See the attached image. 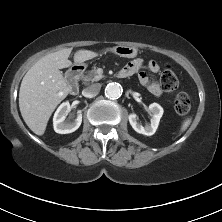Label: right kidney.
<instances>
[{"instance_id":"right-kidney-1","label":"right kidney","mask_w":222,"mask_h":222,"mask_svg":"<svg viewBox=\"0 0 222 222\" xmlns=\"http://www.w3.org/2000/svg\"><path fill=\"white\" fill-rule=\"evenodd\" d=\"M69 112H70L69 102L62 103L56 110L53 117V126L56 133L68 134L76 131L80 127L82 122L81 111L80 110L78 111L76 119L67 122L65 119Z\"/></svg>"}]
</instances>
